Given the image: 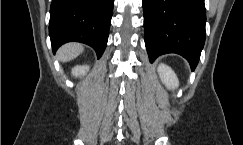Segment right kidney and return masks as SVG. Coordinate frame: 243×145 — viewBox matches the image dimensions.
<instances>
[{
    "instance_id": "right-kidney-1",
    "label": "right kidney",
    "mask_w": 243,
    "mask_h": 145,
    "mask_svg": "<svg viewBox=\"0 0 243 145\" xmlns=\"http://www.w3.org/2000/svg\"><path fill=\"white\" fill-rule=\"evenodd\" d=\"M89 70V66L83 65V66H75L72 69V75L75 77H81V76H85L87 71Z\"/></svg>"
}]
</instances>
